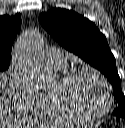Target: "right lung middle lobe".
<instances>
[{"label": "right lung middle lobe", "mask_w": 125, "mask_h": 128, "mask_svg": "<svg viewBox=\"0 0 125 128\" xmlns=\"http://www.w3.org/2000/svg\"><path fill=\"white\" fill-rule=\"evenodd\" d=\"M10 62H0V71L7 70Z\"/></svg>", "instance_id": "1"}]
</instances>
